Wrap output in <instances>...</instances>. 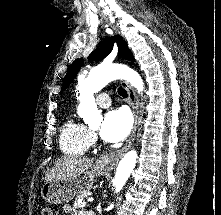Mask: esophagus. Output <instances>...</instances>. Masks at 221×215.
<instances>
[{"mask_svg":"<svg viewBox=\"0 0 221 215\" xmlns=\"http://www.w3.org/2000/svg\"><path fill=\"white\" fill-rule=\"evenodd\" d=\"M120 84L128 93V101L132 108L134 124L129 139L120 150L105 154L99 158V162L107 168L115 167L118 164L119 160L123 157V155L131 148L138 127V101L135 93L126 81L121 80Z\"/></svg>","mask_w":221,"mask_h":215,"instance_id":"34e87169","label":"esophagus"}]
</instances>
